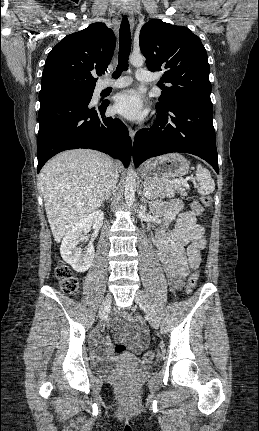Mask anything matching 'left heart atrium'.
Instances as JSON below:
<instances>
[{"instance_id":"1","label":"left heart atrium","mask_w":259,"mask_h":431,"mask_svg":"<svg viewBox=\"0 0 259 431\" xmlns=\"http://www.w3.org/2000/svg\"><path fill=\"white\" fill-rule=\"evenodd\" d=\"M114 111L130 120H139L147 114L145 103L135 90H126L118 94L114 102Z\"/></svg>"}]
</instances>
